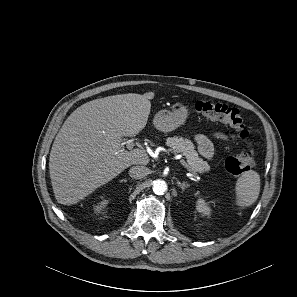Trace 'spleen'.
Returning <instances> with one entry per match:
<instances>
[{
    "instance_id": "obj_1",
    "label": "spleen",
    "mask_w": 297,
    "mask_h": 297,
    "mask_svg": "<svg viewBox=\"0 0 297 297\" xmlns=\"http://www.w3.org/2000/svg\"><path fill=\"white\" fill-rule=\"evenodd\" d=\"M236 203L239 207L251 206L260 193V176L254 170L244 172L235 186Z\"/></svg>"
}]
</instances>
